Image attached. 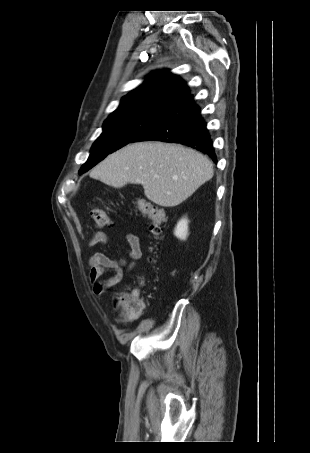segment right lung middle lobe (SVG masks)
Returning a JSON list of instances; mask_svg holds the SVG:
<instances>
[{"mask_svg": "<svg viewBox=\"0 0 310 453\" xmlns=\"http://www.w3.org/2000/svg\"><path fill=\"white\" fill-rule=\"evenodd\" d=\"M158 117L147 115H120L108 117L103 125V132L91 148L88 160L79 173L91 169L108 154L130 142H134Z\"/></svg>", "mask_w": 310, "mask_h": 453, "instance_id": "obj_1", "label": "right lung middle lobe"}]
</instances>
